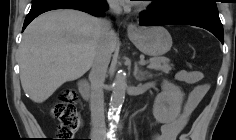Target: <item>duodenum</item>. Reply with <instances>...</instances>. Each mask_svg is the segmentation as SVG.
Masks as SVG:
<instances>
[{
    "instance_id": "obj_1",
    "label": "duodenum",
    "mask_w": 236,
    "mask_h": 140,
    "mask_svg": "<svg viewBox=\"0 0 236 140\" xmlns=\"http://www.w3.org/2000/svg\"><path fill=\"white\" fill-rule=\"evenodd\" d=\"M79 91L84 99L89 100L90 98V87L85 79H81L78 83Z\"/></svg>"
}]
</instances>
